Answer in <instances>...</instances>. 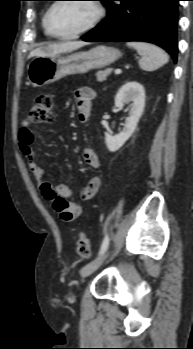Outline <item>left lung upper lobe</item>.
Listing matches in <instances>:
<instances>
[{
  "mask_svg": "<svg viewBox=\"0 0 193 349\" xmlns=\"http://www.w3.org/2000/svg\"><path fill=\"white\" fill-rule=\"evenodd\" d=\"M99 1H102L106 5L108 0H99Z\"/></svg>",
  "mask_w": 193,
  "mask_h": 349,
  "instance_id": "left-lung-upper-lobe-1",
  "label": "left lung upper lobe"
}]
</instances>
